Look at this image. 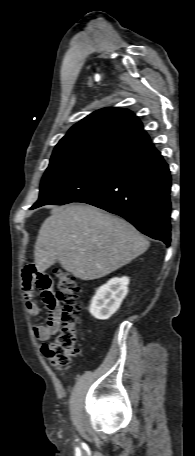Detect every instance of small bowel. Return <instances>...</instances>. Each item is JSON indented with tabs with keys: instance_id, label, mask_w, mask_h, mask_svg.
Instances as JSON below:
<instances>
[{
	"instance_id": "c3829d8e",
	"label": "small bowel",
	"mask_w": 195,
	"mask_h": 456,
	"mask_svg": "<svg viewBox=\"0 0 195 456\" xmlns=\"http://www.w3.org/2000/svg\"><path fill=\"white\" fill-rule=\"evenodd\" d=\"M22 285L26 295V309L31 316L40 314V307L31 298V294L34 287L41 291L43 301L49 311V318L47 325L36 326L33 332L37 339L47 341L56 333L59 326V308L52 290V279L48 274L38 271L34 264H27L22 273Z\"/></svg>"
}]
</instances>
